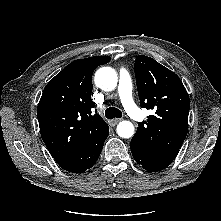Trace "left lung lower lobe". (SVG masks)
<instances>
[{
  "label": "left lung lower lobe",
  "instance_id": "left-lung-lower-lobe-1",
  "mask_svg": "<svg viewBox=\"0 0 221 221\" xmlns=\"http://www.w3.org/2000/svg\"><path fill=\"white\" fill-rule=\"evenodd\" d=\"M130 148L135 161L145 170L151 172L165 169L174 160V158H167L153 154L141 144L137 143L133 138L131 140Z\"/></svg>",
  "mask_w": 221,
  "mask_h": 221
}]
</instances>
